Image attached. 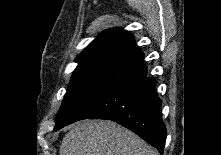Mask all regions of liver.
I'll use <instances>...</instances> for the list:
<instances>
[{"mask_svg": "<svg viewBox=\"0 0 221 155\" xmlns=\"http://www.w3.org/2000/svg\"><path fill=\"white\" fill-rule=\"evenodd\" d=\"M60 155H159L139 136L112 121H81L63 138Z\"/></svg>", "mask_w": 221, "mask_h": 155, "instance_id": "1", "label": "liver"}]
</instances>
